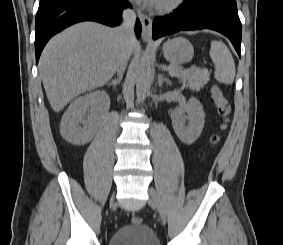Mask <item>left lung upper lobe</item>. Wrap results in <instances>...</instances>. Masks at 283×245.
Listing matches in <instances>:
<instances>
[{
  "mask_svg": "<svg viewBox=\"0 0 283 245\" xmlns=\"http://www.w3.org/2000/svg\"><path fill=\"white\" fill-rule=\"evenodd\" d=\"M185 2L191 5H205V4L224 5L227 7L237 9L236 0H185Z\"/></svg>",
  "mask_w": 283,
  "mask_h": 245,
  "instance_id": "1",
  "label": "left lung upper lobe"
}]
</instances>
